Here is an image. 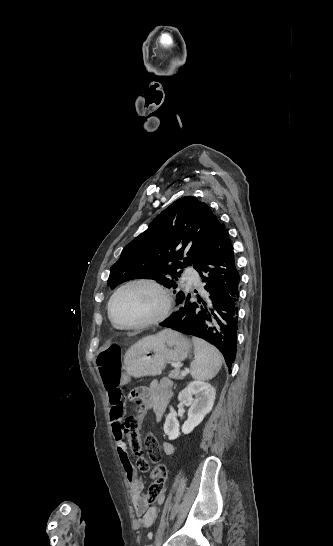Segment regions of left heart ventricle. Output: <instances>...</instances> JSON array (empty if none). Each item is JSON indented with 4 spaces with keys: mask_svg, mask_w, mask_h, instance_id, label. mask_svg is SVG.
Here are the masks:
<instances>
[{
    "mask_svg": "<svg viewBox=\"0 0 333 546\" xmlns=\"http://www.w3.org/2000/svg\"><path fill=\"white\" fill-rule=\"evenodd\" d=\"M161 307L157 291L147 286H132L115 299L112 312L121 325H131L155 315Z\"/></svg>",
    "mask_w": 333,
    "mask_h": 546,
    "instance_id": "left-heart-ventricle-1",
    "label": "left heart ventricle"
}]
</instances>
